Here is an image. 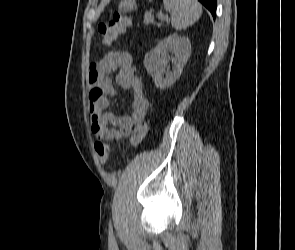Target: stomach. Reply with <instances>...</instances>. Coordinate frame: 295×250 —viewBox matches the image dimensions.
Returning a JSON list of instances; mask_svg holds the SVG:
<instances>
[{
  "mask_svg": "<svg viewBox=\"0 0 295 250\" xmlns=\"http://www.w3.org/2000/svg\"><path fill=\"white\" fill-rule=\"evenodd\" d=\"M135 0H122L119 4L120 11H131L134 9Z\"/></svg>",
  "mask_w": 295,
  "mask_h": 250,
  "instance_id": "1",
  "label": "stomach"
}]
</instances>
